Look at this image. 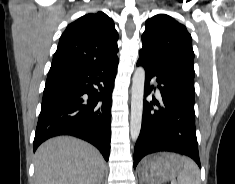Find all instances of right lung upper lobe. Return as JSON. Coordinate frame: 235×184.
Segmentation results:
<instances>
[{"label": "right lung upper lobe", "mask_w": 235, "mask_h": 184, "mask_svg": "<svg viewBox=\"0 0 235 184\" xmlns=\"http://www.w3.org/2000/svg\"><path fill=\"white\" fill-rule=\"evenodd\" d=\"M118 33L103 12L91 13L69 24L60 37L51 68L82 69L118 63Z\"/></svg>", "instance_id": "right-lung-upper-lobe-1"}]
</instances>
